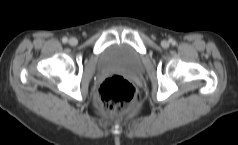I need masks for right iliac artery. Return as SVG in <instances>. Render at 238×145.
<instances>
[{
    "instance_id": "1",
    "label": "right iliac artery",
    "mask_w": 238,
    "mask_h": 145,
    "mask_svg": "<svg viewBox=\"0 0 238 145\" xmlns=\"http://www.w3.org/2000/svg\"><path fill=\"white\" fill-rule=\"evenodd\" d=\"M67 41H68V39H67L66 37H64V38L62 39V42H63V43H67Z\"/></svg>"
}]
</instances>
